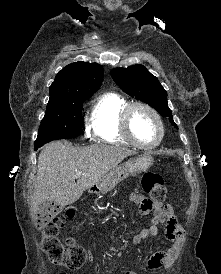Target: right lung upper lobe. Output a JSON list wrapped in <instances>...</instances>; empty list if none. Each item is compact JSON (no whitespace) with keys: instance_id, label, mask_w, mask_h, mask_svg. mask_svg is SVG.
Masks as SVG:
<instances>
[{"instance_id":"obj_1","label":"right lung upper lobe","mask_w":221,"mask_h":274,"mask_svg":"<svg viewBox=\"0 0 221 274\" xmlns=\"http://www.w3.org/2000/svg\"><path fill=\"white\" fill-rule=\"evenodd\" d=\"M103 67L97 63L74 62L55 77L49 89V102L93 95L102 84Z\"/></svg>"}]
</instances>
